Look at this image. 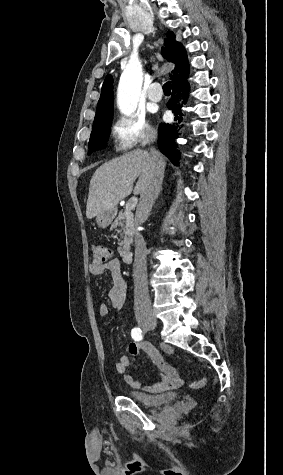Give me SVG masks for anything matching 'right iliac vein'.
<instances>
[{
    "label": "right iliac vein",
    "instance_id": "1",
    "mask_svg": "<svg viewBox=\"0 0 283 475\" xmlns=\"http://www.w3.org/2000/svg\"><path fill=\"white\" fill-rule=\"evenodd\" d=\"M139 324L148 329H153L157 322L153 313H146L139 319Z\"/></svg>",
    "mask_w": 283,
    "mask_h": 475
}]
</instances>
